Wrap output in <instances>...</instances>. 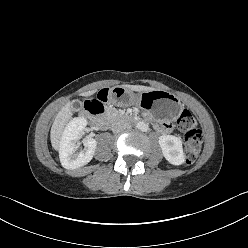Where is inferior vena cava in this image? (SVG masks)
<instances>
[{"label":"inferior vena cava","instance_id":"obj_1","mask_svg":"<svg viewBox=\"0 0 248 248\" xmlns=\"http://www.w3.org/2000/svg\"><path fill=\"white\" fill-rule=\"evenodd\" d=\"M127 128H129V125L122 122H116L112 125V131L114 133H120Z\"/></svg>","mask_w":248,"mask_h":248}]
</instances>
